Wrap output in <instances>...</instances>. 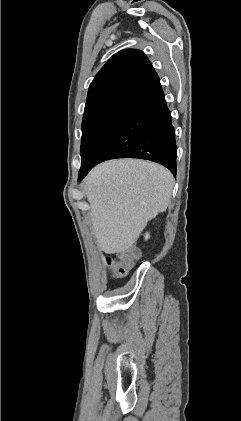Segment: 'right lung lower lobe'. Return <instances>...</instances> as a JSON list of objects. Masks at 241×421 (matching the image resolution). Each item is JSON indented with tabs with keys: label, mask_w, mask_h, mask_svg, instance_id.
<instances>
[{
	"label": "right lung lower lobe",
	"mask_w": 241,
	"mask_h": 421,
	"mask_svg": "<svg viewBox=\"0 0 241 421\" xmlns=\"http://www.w3.org/2000/svg\"><path fill=\"white\" fill-rule=\"evenodd\" d=\"M171 119L158 79L132 100L118 130L96 162L80 169L78 181L95 165L114 158L150 160L164 165L175 176L177 147Z\"/></svg>",
	"instance_id": "obj_1"
}]
</instances>
